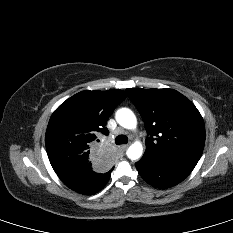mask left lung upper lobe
<instances>
[{"label":"left lung upper lobe","mask_w":233,"mask_h":233,"mask_svg":"<svg viewBox=\"0 0 233 233\" xmlns=\"http://www.w3.org/2000/svg\"><path fill=\"white\" fill-rule=\"evenodd\" d=\"M146 127L145 153L199 160L205 144L204 121L195 105L173 89H126Z\"/></svg>","instance_id":"left-lung-upper-lobe-1"}]
</instances>
